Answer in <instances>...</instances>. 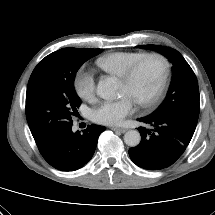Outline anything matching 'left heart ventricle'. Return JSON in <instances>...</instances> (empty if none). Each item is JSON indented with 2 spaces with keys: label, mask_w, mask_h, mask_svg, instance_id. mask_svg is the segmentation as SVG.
<instances>
[{
  "label": "left heart ventricle",
  "mask_w": 215,
  "mask_h": 215,
  "mask_svg": "<svg viewBox=\"0 0 215 215\" xmlns=\"http://www.w3.org/2000/svg\"><path fill=\"white\" fill-rule=\"evenodd\" d=\"M162 64L157 59L145 61L131 82L121 81L120 94L129 95L134 101L148 99L157 89L161 76Z\"/></svg>",
  "instance_id": "left-heart-ventricle-1"
}]
</instances>
